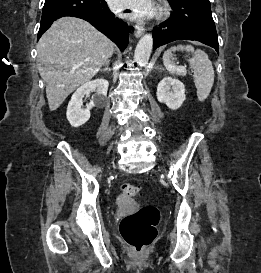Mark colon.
<instances>
[{
  "label": "colon",
  "instance_id": "5ec220e1",
  "mask_svg": "<svg viewBox=\"0 0 261 273\" xmlns=\"http://www.w3.org/2000/svg\"><path fill=\"white\" fill-rule=\"evenodd\" d=\"M138 191V187L133 184L126 183L121 186V193L125 198L136 196ZM159 219L160 214L155 207H142L121 220L120 235L135 252H142L155 239Z\"/></svg>",
  "mask_w": 261,
  "mask_h": 273
}]
</instances>
